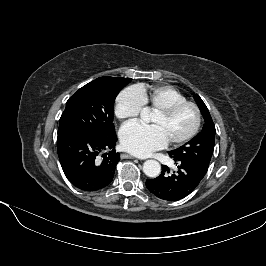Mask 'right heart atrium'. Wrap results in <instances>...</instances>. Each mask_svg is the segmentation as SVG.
Here are the masks:
<instances>
[{
    "label": "right heart atrium",
    "mask_w": 266,
    "mask_h": 266,
    "mask_svg": "<svg viewBox=\"0 0 266 266\" xmlns=\"http://www.w3.org/2000/svg\"><path fill=\"white\" fill-rule=\"evenodd\" d=\"M145 106L138 87L123 89L116 98L115 114L120 120H131L139 116Z\"/></svg>",
    "instance_id": "d8ad5b80"
}]
</instances>
